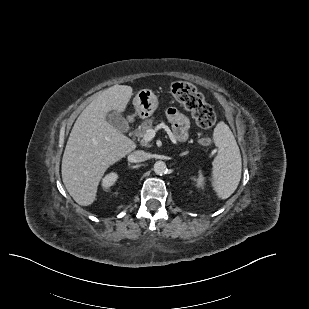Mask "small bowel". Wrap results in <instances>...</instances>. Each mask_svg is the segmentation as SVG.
I'll return each instance as SVG.
<instances>
[{
  "instance_id": "obj_1",
  "label": "small bowel",
  "mask_w": 309,
  "mask_h": 309,
  "mask_svg": "<svg viewBox=\"0 0 309 309\" xmlns=\"http://www.w3.org/2000/svg\"><path fill=\"white\" fill-rule=\"evenodd\" d=\"M167 118L173 125L174 138L178 141L186 140L190 126L188 118L174 107L167 110Z\"/></svg>"
}]
</instances>
